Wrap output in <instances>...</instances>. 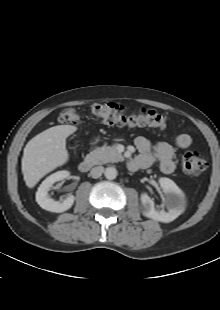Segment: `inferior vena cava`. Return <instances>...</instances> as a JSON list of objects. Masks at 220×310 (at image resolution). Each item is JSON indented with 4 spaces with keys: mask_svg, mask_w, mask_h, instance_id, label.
<instances>
[{
    "mask_svg": "<svg viewBox=\"0 0 220 310\" xmlns=\"http://www.w3.org/2000/svg\"><path fill=\"white\" fill-rule=\"evenodd\" d=\"M104 172V167L103 166H96L94 168H92L90 175L92 176V178H99L102 173Z\"/></svg>",
    "mask_w": 220,
    "mask_h": 310,
    "instance_id": "1",
    "label": "inferior vena cava"
}]
</instances>
